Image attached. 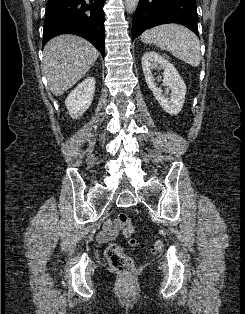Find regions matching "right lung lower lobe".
<instances>
[{
    "label": "right lung lower lobe",
    "mask_w": 245,
    "mask_h": 314,
    "mask_svg": "<svg viewBox=\"0 0 245 314\" xmlns=\"http://www.w3.org/2000/svg\"><path fill=\"white\" fill-rule=\"evenodd\" d=\"M105 0H48L43 43L60 34H75L91 42L104 57Z\"/></svg>",
    "instance_id": "right-lung-lower-lobe-1"
}]
</instances>
